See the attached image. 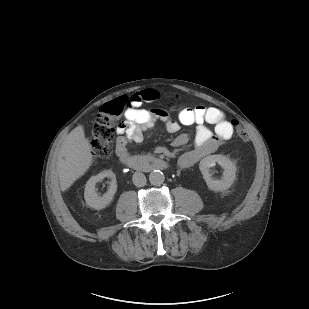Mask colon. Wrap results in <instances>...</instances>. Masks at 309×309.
<instances>
[{
  "label": "colon",
  "mask_w": 309,
  "mask_h": 309,
  "mask_svg": "<svg viewBox=\"0 0 309 309\" xmlns=\"http://www.w3.org/2000/svg\"><path fill=\"white\" fill-rule=\"evenodd\" d=\"M128 107V99L120 97L107 102L100 107L91 132V155L103 158L109 155L116 132L124 123L118 122ZM237 135L243 141L249 140V134L243 128L237 127Z\"/></svg>",
  "instance_id": "5ec220e1"
}]
</instances>
